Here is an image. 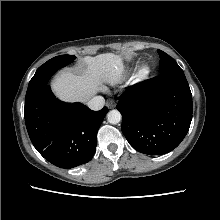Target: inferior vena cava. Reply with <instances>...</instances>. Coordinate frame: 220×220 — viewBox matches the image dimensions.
<instances>
[{
  "label": "inferior vena cava",
  "mask_w": 220,
  "mask_h": 220,
  "mask_svg": "<svg viewBox=\"0 0 220 220\" xmlns=\"http://www.w3.org/2000/svg\"><path fill=\"white\" fill-rule=\"evenodd\" d=\"M105 99L102 96H95L88 101L87 105L91 110H100L104 107Z\"/></svg>",
  "instance_id": "1"
}]
</instances>
